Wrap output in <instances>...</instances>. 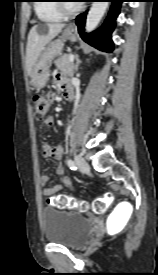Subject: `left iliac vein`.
Masks as SVG:
<instances>
[{
  "instance_id": "obj_1",
  "label": "left iliac vein",
  "mask_w": 158,
  "mask_h": 275,
  "mask_svg": "<svg viewBox=\"0 0 158 275\" xmlns=\"http://www.w3.org/2000/svg\"><path fill=\"white\" fill-rule=\"evenodd\" d=\"M75 163L77 168L82 172H88L90 169L87 161L82 156L77 155L75 157Z\"/></svg>"
}]
</instances>
